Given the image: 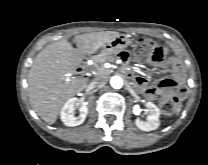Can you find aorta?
<instances>
[{
  "instance_id": "1",
  "label": "aorta",
  "mask_w": 208,
  "mask_h": 165,
  "mask_svg": "<svg viewBox=\"0 0 208 165\" xmlns=\"http://www.w3.org/2000/svg\"><path fill=\"white\" fill-rule=\"evenodd\" d=\"M110 84L115 89H120L123 86V80L120 76H113L110 79Z\"/></svg>"
}]
</instances>
